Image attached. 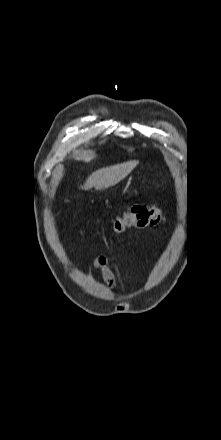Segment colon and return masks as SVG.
Wrapping results in <instances>:
<instances>
[{
    "label": "colon",
    "mask_w": 221,
    "mask_h": 440,
    "mask_svg": "<svg viewBox=\"0 0 221 440\" xmlns=\"http://www.w3.org/2000/svg\"><path fill=\"white\" fill-rule=\"evenodd\" d=\"M162 219L160 209L155 206H133L114 219L112 228L116 233H123L131 228L157 226L162 222Z\"/></svg>",
    "instance_id": "1"
}]
</instances>
